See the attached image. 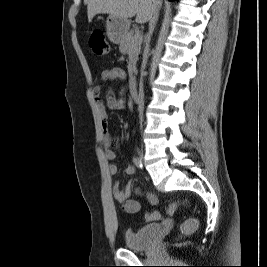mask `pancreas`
Segmentation results:
<instances>
[{
    "instance_id": "obj_1",
    "label": "pancreas",
    "mask_w": 267,
    "mask_h": 267,
    "mask_svg": "<svg viewBox=\"0 0 267 267\" xmlns=\"http://www.w3.org/2000/svg\"><path fill=\"white\" fill-rule=\"evenodd\" d=\"M136 31L130 30L127 32L120 41L119 50L123 54L129 55L128 72L130 77H132L133 72L136 71L135 65L138 59V55L141 49V42L136 39Z\"/></svg>"
}]
</instances>
